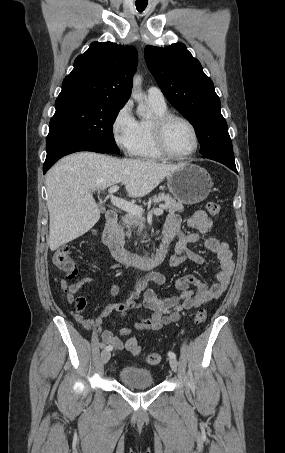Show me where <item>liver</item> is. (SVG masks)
I'll list each match as a JSON object with an SVG mask.
<instances>
[{
    "label": "liver",
    "mask_w": 285,
    "mask_h": 453,
    "mask_svg": "<svg viewBox=\"0 0 285 453\" xmlns=\"http://www.w3.org/2000/svg\"><path fill=\"white\" fill-rule=\"evenodd\" d=\"M180 166L93 152L62 158L46 175L51 251L82 236L98 222L100 209L94 190L122 182L130 197H143Z\"/></svg>",
    "instance_id": "obj_1"
}]
</instances>
